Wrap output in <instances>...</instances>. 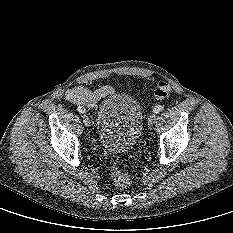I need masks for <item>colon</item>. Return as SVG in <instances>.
<instances>
[{
	"label": "colon",
	"mask_w": 233,
	"mask_h": 233,
	"mask_svg": "<svg viewBox=\"0 0 233 233\" xmlns=\"http://www.w3.org/2000/svg\"><path fill=\"white\" fill-rule=\"evenodd\" d=\"M170 90L171 89L168 83L163 81L159 82L157 89L155 90V98L157 100L166 99L170 94ZM112 179L114 184L120 188L127 187L131 182L130 177L120 172L116 166L112 167Z\"/></svg>",
	"instance_id": "obj_1"
}]
</instances>
